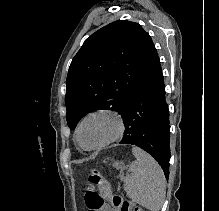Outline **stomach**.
I'll list each match as a JSON object with an SVG mask.
<instances>
[{
  "mask_svg": "<svg viewBox=\"0 0 219 211\" xmlns=\"http://www.w3.org/2000/svg\"><path fill=\"white\" fill-rule=\"evenodd\" d=\"M113 166L117 169H123V163L119 161H114Z\"/></svg>",
  "mask_w": 219,
  "mask_h": 211,
  "instance_id": "stomach-1",
  "label": "stomach"
}]
</instances>
